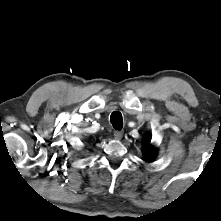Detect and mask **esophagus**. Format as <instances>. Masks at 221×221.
Instances as JSON below:
<instances>
[{
    "label": "esophagus",
    "instance_id": "esophagus-1",
    "mask_svg": "<svg viewBox=\"0 0 221 221\" xmlns=\"http://www.w3.org/2000/svg\"><path fill=\"white\" fill-rule=\"evenodd\" d=\"M124 132L122 130L114 131V136L116 139L120 140L123 137Z\"/></svg>",
    "mask_w": 221,
    "mask_h": 221
}]
</instances>
